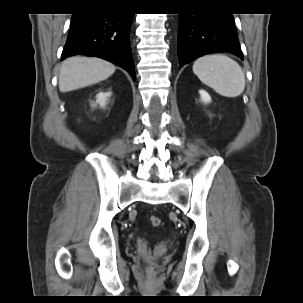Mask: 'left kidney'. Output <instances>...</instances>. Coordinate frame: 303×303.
<instances>
[{
  "instance_id": "left-kidney-1",
  "label": "left kidney",
  "mask_w": 303,
  "mask_h": 303,
  "mask_svg": "<svg viewBox=\"0 0 303 303\" xmlns=\"http://www.w3.org/2000/svg\"><path fill=\"white\" fill-rule=\"evenodd\" d=\"M199 94L201 96V101H203L204 103H209L211 101V97L206 91L200 90Z\"/></svg>"
}]
</instances>
